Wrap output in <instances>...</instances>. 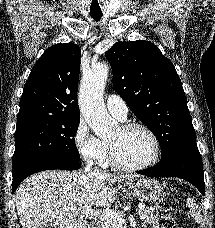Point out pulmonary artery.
Here are the masks:
<instances>
[{
  "label": "pulmonary artery",
  "mask_w": 215,
  "mask_h": 228,
  "mask_svg": "<svg viewBox=\"0 0 215 228\" xmlns=\"http://www.w3.org/2000/svg\"><path fill=\"white\" fill-rule=\"evenodd\" d=\"M108 111L119 120L123 121L127 118V105L125 101L116 95H110L106 101Z\"/></svg>",
  "instance_id": "e3ab8cb5"
}]
</instances>
